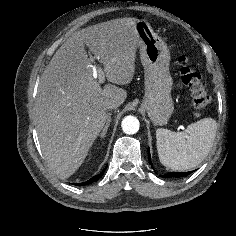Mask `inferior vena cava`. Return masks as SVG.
I'll list each match as a JSON object with an SVG mask.
<instances>
[{"label":"inferior vena cava","instance_id":"inferior-vena-cava-1","mask_svg":"<svg viewBox=\"0 0 236 236\" xmlns=\"http://www.w3.org/2000/svg\"><path fill=\"white\" fill-rule=\"evenodd\" d=\"M117 107H118V105L116 103H109L106 108L113 109V108H117Z\"/></svg>","mask_w":236,"mask_h":236}]
</instances>
